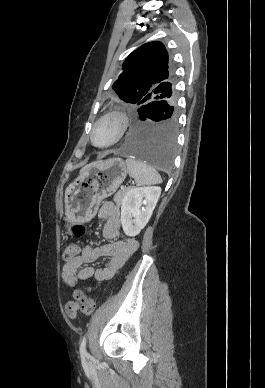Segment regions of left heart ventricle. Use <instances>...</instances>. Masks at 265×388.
Here are the masks:
<instances>
[{
    "mask_svg": "<svg viewBox=\"0 0 265 388\" xmlns=\"http://www.w3.org/2000/svg\"><path fill=\"white\" fill-rule=\"evenodd\" d=\"M112 137H113V124L111 121H108L103 123L97 128L94 134V141L97 144H103L110 141Z\"/></svg>",
    "mask_w": 265,
    "mask_h": 388,
    "instance_id": "1",
    "label": "left heart ventricle"
}]
</instances>
